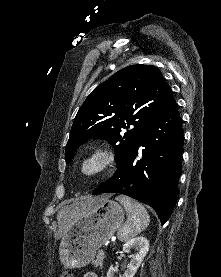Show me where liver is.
Masks as SVG:
<instances>
[{
    "mask_svg": "<svg viewBox=\"0 0 221 277\" xmlns=\"http://www.w3.org/2000/svg\"><path fill=\"white\" fill-rule=\"evenodd\" d=\"M100 198H107V196L89 198L85 201L76 202L72 205L65 206L64 208H62L57 215V221L59 226L57 232L55 233V239H59L67 231L68 223L74 216L79 214V212L83 208L91 207L94 204H96Z\"/></svg>",
    "mask_w": 221,
    "mask_h": 277,
    "instance_id": "6515ba94",
    "label": "liver"
}]
</instances>
